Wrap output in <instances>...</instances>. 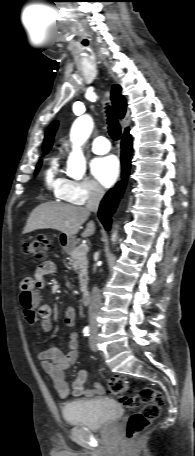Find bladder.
Returning a JSON list of instances; mask_svg holds the SVG:
<instances>
[{
  "instance_id": "obj_1",
  "label": "bladder",
  "mask_w": 195,
  "mask_h": 456,
  "mask_svg": "<svg viewBox=\"0 0 195 456\" xmlns=\"http://www.w3.org/2000/svg\"><path fill=\"white\" fill-rule=\"evenodd\" d=\"M64 420L91 430L107 429L123 415L122 406L110 398H93L68 403L62 409Z\"/></svg>"
}]
</instances>
